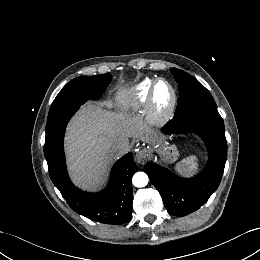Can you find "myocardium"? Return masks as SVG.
<instances>
[{
    "label": "myocardium",
    "instance_id": "myocardium-1",
    "mask_svg": "<svg viewBox=\"0 0 260 260\" xmlns=\"http://www.w3.org/2000/svg\"><path fill=\"white\" fill-rule=\"evenodd\" d=\"M159 83H164L170 89L172 94L171 103L168 109L165 111H161L156 105L155 97L157 86L159 85ZM177 103L178 97L174 86L167 79H156L151 86L146 103V113L149 123L154 126H164L165 124H167L174 117Z\"/></svg>",
    "mask_w": 260,
    "mask_h": 260
}]
</instances>
